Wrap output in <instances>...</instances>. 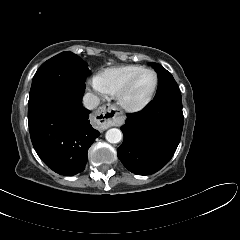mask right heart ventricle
Masks as SVG:
<instances>
[{
    "label": "right heart ventricle",
    "mask_w": 240,
    "mask_h": 240,
    "mask_svg": "<svg viewBox=\"0 0 240 240\" xmlns=\"http://www.w3.org/2000/svg\"><path fill=\"white\" fill-rule=\"evenodd\" d=\"M144 69L140 65H124L105 69L97 77L102 92L116 94L118 90L137 72Z\"/></svg>",
    "instance_id": "1"
}]
</instances>
